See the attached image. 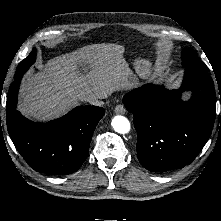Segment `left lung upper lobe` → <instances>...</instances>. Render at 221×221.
I'll return each instance as SVG.
<instances>
[{
    "instance_id": "1",
    "label": "left lung upper lobe",
    "mask_w": 221,
    "mask_h": 221,
    "mask_svg": "<svg viewBox=\"0 0 221 221\" xmlns=\"http://www.w3.org/2000/svg\"><path fill=\"white\" fill-rule=\"evenodd\" d=\"M182 66L196 70H205L202 63L198 59L195 51L192 48H186L182 51Z\"/></svg>"
}]
</instances>
